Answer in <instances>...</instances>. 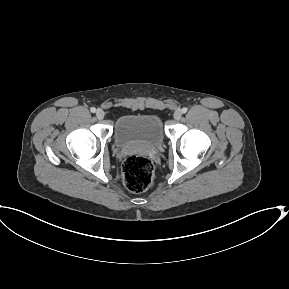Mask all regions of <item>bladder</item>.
I'll list each match as a JSON object with an SVG mask.
<instances>
[{
    "mask_svg": "<svg viewBox=\"0 0 289 289\" xmlns=\"http://www.w3.org/2000/svg\"><path fill=\"white\" fill-rule=\"evenodd\" d=\"M165 139L161 119L155 114H127L114 127V141L120 147L141 145L158 147Z\"/></svg>",
    "mask_w": 289,
    "mask_h": 289,
    "instance_id": "1",
    "label": "bladder"
}]
</instances>
